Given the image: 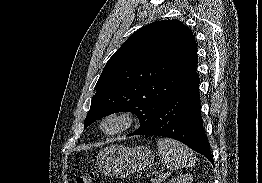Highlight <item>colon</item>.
<instances>
[{
	"label": "colon",
	"mask_w": 262,
	"mask_h": 183,
	"mask_svg": "<svg viewBox=\"0 0 262 183\" xmlns=\"http://www.w3.org/2000/svg\"><path fill=\"white\" fill-rule=\"evenodd\" d=\"M97 177L98 174L94 171L81 173L75 178L74 183H93Z\"/></svg>",
	"instance_id": "5ec220e1"
}]
</instances>
